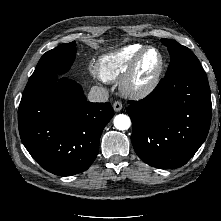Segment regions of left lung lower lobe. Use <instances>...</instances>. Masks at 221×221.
<instances>
[{
  "label": "left lung lower lobe",
  "instance_id": "left-lung-lower-lobe-1",
  "mask_svg": "<svg viewBox=\"0 0 221 221\" xmlns=\"http://www.w3.org/2000/svg\"><path fill=\"white\" fill-rule=\"evenodd\" d=\"M128 103L134 150L150 166H183L207 137L211 96L200 63L184 65L161 79L149 96Z\"/></svg>",
  "mask_w": 221,
  "mask_h": 221
}]
</instances>
